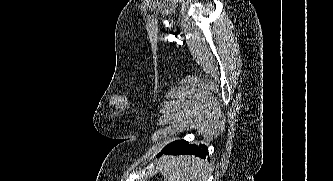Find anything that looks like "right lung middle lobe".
<instances>
[{
  "label": "right lung middle lobe",
  "mask_w": 333,
  "mask_h": 181,
  "mask_svg": "<svg viewBox=\"0 0 333 181\" xmlns=\"http://www.w3.org/2000/svg\"><path fill=\"white\" fill-rule=\"evenodd\" d=\"M175 142H177V141H174V142H172L171 144H173V143H175ZM171 144H169V145H171ZM169 145H168V146H169Z\"/></svg>",
  "instance_id": "dd1d6c3e"
}]
</instances>
